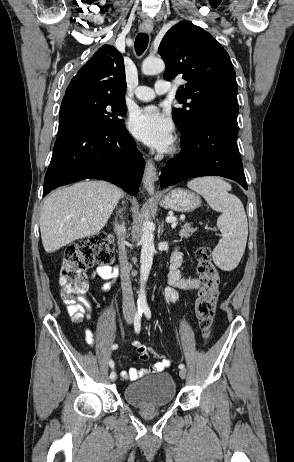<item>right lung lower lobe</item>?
I'll return each mask as SVG.
<instances>
[{"mask_svg": "<svg viewBox=\"0 0 294 462\" xmlns=\"http://www.w3.org/2000/svg\"><path fill=\"white\" fill-rule=\"evenodd\" d=\"M144 159L123 122L100 129H80L57 136L45 175L43 196L87 178L112 182L135 195Z\"/></svg>", "mask_w": 294, "mask_h": 462, "instance_id": "right-lung-lower-lobe-1", "label": "right lung lower lobe"}]
</instances>
